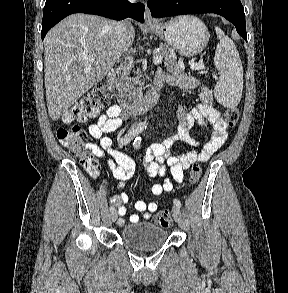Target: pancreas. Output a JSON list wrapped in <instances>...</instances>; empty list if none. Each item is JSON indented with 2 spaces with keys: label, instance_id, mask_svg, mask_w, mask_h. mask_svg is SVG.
I'll return each instance as SVG.
<instances>
[{
  "label": "pancreas",
  "instance_id": "1",
  "mask_svg": "<svg viewBox=\"0 0 288 293\" xmlns=\"http://www.w3.org/2000/svg\"><path fill=\"white\" fill-rule=\"evenodd\" d=\"M158 55L162 56L164 58V67H166L167 71L179 74L182 71H184L185 67L182 62H178L176 58V54L174 51L165 44H161L159 46V52ZM196 64L194 62H191L190 65ZM202 64V63H197ZM133 65L132 63H123L120 65L117 71V81H116V87L122 97H129V98H135L140 93L142 88L137 87V85L140 84L139 80V72L137 71V77L131 78L129 77V73L132 69Z\"/></svg>",
  "mask_w": 288,
  "mask_h": 293
}]
</instances>
